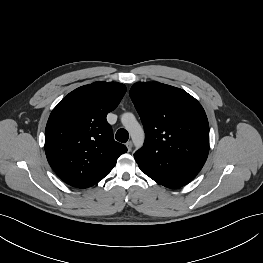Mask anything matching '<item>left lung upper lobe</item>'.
Here are the masks:
<instances>
[{
    "instance_id": "left-lung-upper-lobe-1",
    "label": "left lung upper lobe",
    "mask_w": 263,
    "mask_h": 263,
    "mask_svg": "<svg viewBox=\"0 0 263 263\" xmlns=\"http://www.w3.org/2000/svg\"><path fill=\"white\" fill-rule=\"evenodd\" d=\"M129 95L146 134L134 158L149 164L174 162L200 172L209 152V124L200 103L159 82H137Z\"/></svg>"
}]
</instances>
